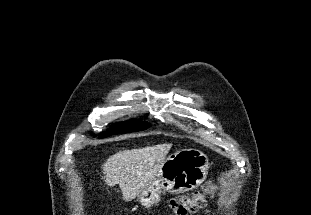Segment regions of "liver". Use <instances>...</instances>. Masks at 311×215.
<instances>
[{"label":"liver","instance_id":"liver-1","mask_svg":"<svg viewBox=\"0 0 311 215\" xmlns=\"http://www.w3.org/2000/svg\"><path fill=\"white\" fill-rule=\"evenodd\" d=\"M172 144L119 151L102 165V179L107 186L119 185L123 200L131 201L147 188L158 175Z\"/></svg>","mask_w":311,"mask_h":215}]
</instances>
